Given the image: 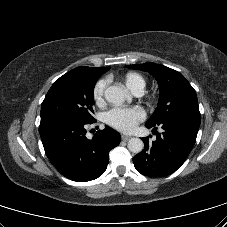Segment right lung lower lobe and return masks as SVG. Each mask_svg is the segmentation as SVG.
Listing matches in <instances>:
<instances>
[{"label":"right lung lower lobe","mask_w":227,"mask_h":227,"mask_svg":"<svg viewBox=\"0 0 227 227\" xmlns=\"http://www.w3.org/2000/svg\"><path fill=\"white\" fill-rule=\"evenodd\" d=\"M91 123L67 117L40 122L39 132L48 159L70 180L85 182L101 176L108 165L109 151L121 141L120 134L108 126L87 139L85 127Z\"/></svg>","instance_id":"obj_1"}]
</instances>
